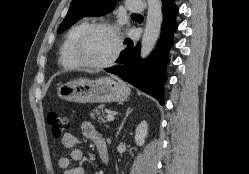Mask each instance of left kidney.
I'll return each instance as SVG.
<instances>
[{"label": "left kidney", "instance_id": "left-kidney-1", "mask_svg": "<svg viewBox=\"0 0 249 174\" xmlns=\"http://www.w3.org/2000/svg\"><path fill=\"white\" fill-rule=\"evenodd\" d=\"M148 134V124L146 121H142L135 132V142L138 146H143L145 143V138Z\"/></svg>", "mask_w": 249, "mask_h": 174}]
</instances>
